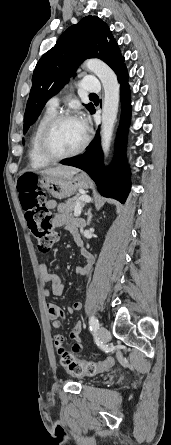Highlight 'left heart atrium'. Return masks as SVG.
Instances as JSON below:
<instances>
[{"instance_id": "1", "label": "left heart atrium", "mask_w": 171, "mask_h": 445, "mask_svg": "<svg viewBox=\"0 0 171 445\" xmlns=\"http://www.w3.org/2000/svg\"><path fill=\"white\" fill-rule=\"evenodd\" d=\"M81 124L83 125L84 129H87V121L85 119L80 120Z\"/></svg>"}]
</instances>
